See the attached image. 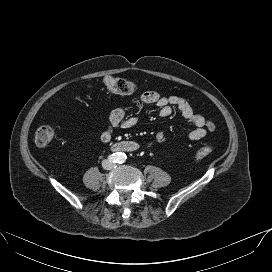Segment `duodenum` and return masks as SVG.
Instances as JSON below:
<instances>
[{"mask_svg":"<svg viewBox=\"0 0 272 272\" xmlns=\"http://www.w3.org/2000/svg\"><path fill=\"white\" fill-rule=\"evenodd\" d=\"M113 151L132 153L138 150V144L133 141L118 142L112 145Z\"/></svg>","mask_w":272,"mask_h":272,"instance_id":"obj_1","label":"duodenum"}]
</instances>
